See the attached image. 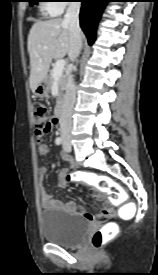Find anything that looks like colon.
<instances>
[{"mask_svg":"<svg viewBox=\"0 0 158 275\" xmlns=\"http://www.w3.org/2000/svg\"><path fill=\"white\" fill-rule=\"evenodd\" d=\"M33 119L35 134L39 138L49 134L57 124V120L50 116L47 108L41 103H35L33 105ZM70 180L96 186L99 191L108 195V199L110 201H123L126 198L125 191L111 178L106 176H97L84 172H77L71 175L67 174L65 176V181ZM110 216L111 210L109 206H106L101 213L95 214V217L99 219L109 218ZM115 234L116 230L114 225L111 223L105 224L92 236V245L95 248H98L106 241L113 238Z\"/></svg>","mask_w":158,"mask_h":275,"instance_id":"5ec220e1","label":"colon"}]
</instances>
